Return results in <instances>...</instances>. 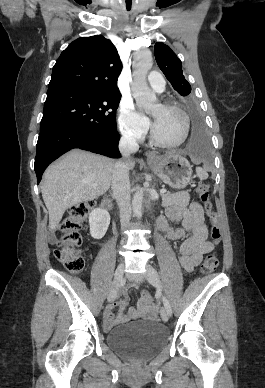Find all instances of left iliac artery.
<instances>
[{"mask_svg": "<svg viewBox=\"0 0 265 388\" xmlns=\"http://www.w3.org/2000/svg\"><path fill=\"white\" fill-rule=\"evenodd\" d=\"M163 303H164V306H165V308H166V310H167L169 316H171V315H172V309H171V306H170V304H169V301L167 300L166 297H163Z\"/></svg>", "mask_w": 265, "mask_h": 388, "instance_id": "44dca946", "label": "left iliac artery"}]
</instances>
